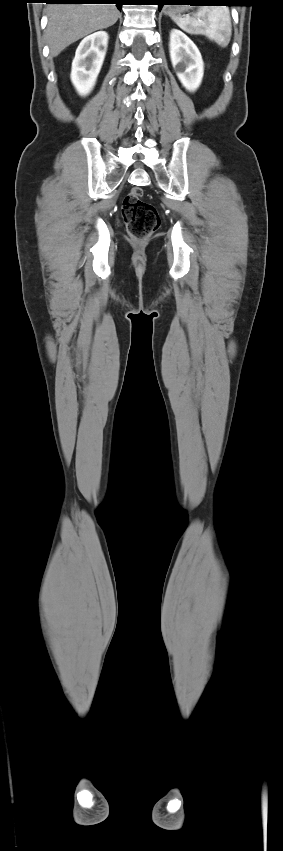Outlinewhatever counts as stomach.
I'll list each match as a JSON object with an SVG mask.
<instances>
[{"mask_svg":"<svg viewBox=\"0 0 283 851\" xmlns=\"http://www.w3.org/2000/svg\"><path fill=\"white\" fill-rule=\"evenodd\" d=\"M183 4V3H180ZM187 9V6H168L165 8L164 12L166 14H179Z\"/></svg>","mask_w":283,"mask_h":851,"instance_id":"obj_1","label":"stomach"}]
</instances>
